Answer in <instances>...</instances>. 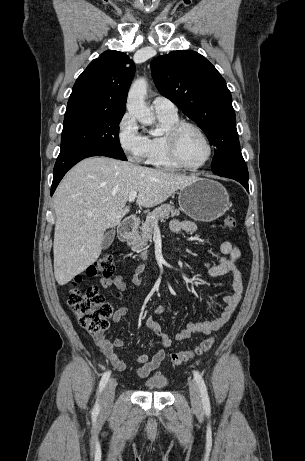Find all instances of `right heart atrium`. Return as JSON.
<instances>
[{
  "label": "right heart atrium",
  "instance_id": "d8ad5b80",
  "mask_svg": "<svg viewBox=\"0 0 305 461\" xmlns=\"http://www.w3.org/2000/svg\"><path fill=\"white\" fill-rule=\"evenodd\" d=\"M117 140L123 152L133 161L142 158L144 136L139 132L134 117L125 113L117 127Z\"/></svg>",
  "mask_w": 305,
  "mask_h": 461
}]
</instances>
